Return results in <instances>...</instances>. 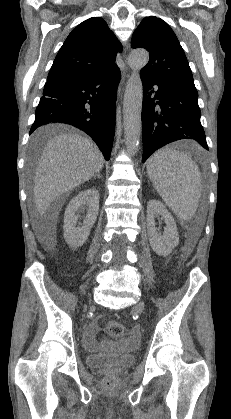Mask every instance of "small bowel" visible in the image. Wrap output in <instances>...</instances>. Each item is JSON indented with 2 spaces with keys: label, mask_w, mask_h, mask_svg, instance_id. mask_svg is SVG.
<instances>
[{
  "label": "small bowel",
  "mask_w": 231,
  "mask_h": 419,
  "mask_svg": "<svg viewBox=\"0 0 231 419\" xmlns=\"http://www.w3.org/2000/svg\"><path fill=\"white\" fill-rule=\"evenodd\" d=\"M98 331V323L96 321L91 322L84 332V339H85V347L87 349H96L98 342L95 339V333ZM137 338L135 335L131 336L127 343H136Z\"/></svg>",
  "instance_id": "1"
}]
</instances>
